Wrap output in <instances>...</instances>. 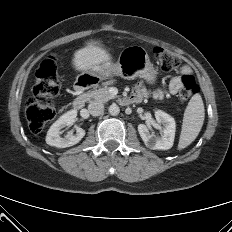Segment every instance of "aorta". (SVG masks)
I'll return each mask as SVG.
<instances>
[{
	"mask_svg": "<svg viewBox=\"0 0 232 232\" xmlns=\"http://www.w3.org/2000/svg\"><path fill=\"white\" fill-rule=\"evenodd\" d=\"M108 111L112 116H116V115H118L120 113V108H119L118 105L112 104V105L109 106Z\"/></svg>",
	"mask_w": 232,
	"mask_h": 232,
	"instance_id": "1",
	"label": "aorta"
}]
</instances>
